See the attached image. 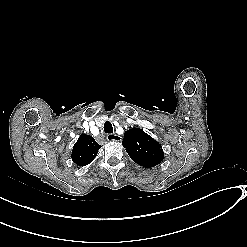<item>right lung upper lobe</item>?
I'll return each mask as SVG.
<instances>
[{
	"mask_svg": "<svg viewBox=\"0 0 247 247\" xmlns=\"http://www.w3.org/2000/svg\"><path fill=\"white\" fill-rule=\"evenodd\" d=\"M101 146L93 137L81 134L72 150V160L79 166H86L94 160Z\"/></svg>",
	"mask_w": 247,
	"mask_h": 247,
	"instance_id": "cb5924a9",
	"label": "right lung upper lobe"
}]
</instances>
